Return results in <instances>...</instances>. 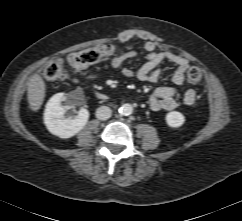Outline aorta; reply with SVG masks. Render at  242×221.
I'll return each mask as SVG.
<instances>
[{
	"instance_id": "762f6f07",
	"label": "aorta",
	"mask_w": 242,
	"mask_h": 221,
	"mask_svg": "<svg viewBox=\"0 0 242 221\" xmlns=\"http://www.w3.org/2000/svg\"><path fill=\"white\" fill-rule=\"evenodd\" d=\"M118 112L121 114V115H130L132 114L133 112V107L131 104L129 103H126V104H123L119 109H118Z\"/></svg>"
}]
</instances>
